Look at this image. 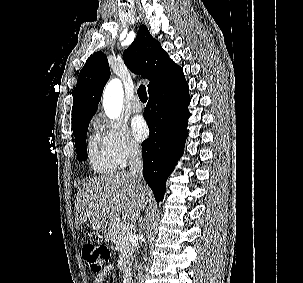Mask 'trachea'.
<instances>
[{"label": "trachea", "instance_id": "trachea-1", "mask_svg": "<svg viewBox=\"0 0 303 283\" xmlns=\"http://www.w3.org/2000/svg\"><path fill=\"white\" fill-rule=\"evenodd\" d=\"M137 94L140 98L141 101H146L147 100V92H146V88L144 85H140L138 90H137Z\"/></svg>", "mask_w": 303, "mask_h": 283}]
</instances>
